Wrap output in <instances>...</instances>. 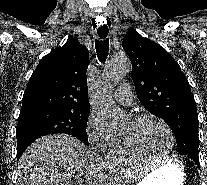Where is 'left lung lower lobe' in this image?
Returning <instances> with one entry per match:
<instances>
[{"mask_svg": "<svg viewBox=\"0 0 207 185\" xmlns=\"http://www.w3.org/2000/svg\"><path fill=\"white\" fill-rule=\"evenodd\" d=\"M189 157L192 158L193 161H194L196 164H198V166H200V164H199V157H198V154H191V155H189Z\"/></svg>", "mask_w": 207, "mask_h": 185, "instance_id": "obj_1", "label": "left lung lower lobe"}]
</instances>
